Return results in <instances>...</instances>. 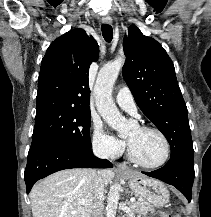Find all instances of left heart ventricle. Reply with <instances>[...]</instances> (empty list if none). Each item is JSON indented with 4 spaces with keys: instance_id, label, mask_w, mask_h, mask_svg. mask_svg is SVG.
Returning a JSON list of instances; mask_svg holds the SVG:
<instances>
[{
    "instance_id": "obj_1",
    "label": "left heart ventricle",
    "mask_w": 211,
    "mask_h": 217,
    "mask_svg": "<svg viewBox=\"0 0 211 217\" xmlns=\"http://www.w3.org/2000/svg\"><path fill=\"white\" fill-rule=\"evenodd\" d=\"M127 139L135 155L144 163L156 164L165 155L164 142L155 132L136 127L128 133Z\"/></svg>"
}]
</instances>
